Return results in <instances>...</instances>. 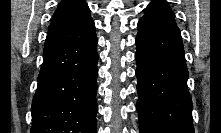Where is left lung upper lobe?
<instances>
[{
    "label": "left lung upper lobe",
    "instance_id": "obj_1",
    "mask_svg": "<svg viewBox=\"0 0 221 133\" xmlns=\"http://www.w3.org/2000/svg\"><path fill=\"white\" fill-rule=\"evenodd\" d=\"M142 19L157 20L174 23L175 15L165 1H155L150 3Z\"/></svg>",
    "mask_w": 221,
    "mask_h": 133
}]
</instances>
